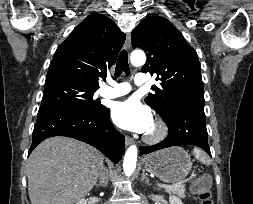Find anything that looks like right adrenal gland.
Here are the masks:
<instances>
[{
  "label": "right adrenal gland",
  "mask_w": 253,
  "mask_h": 204,
  "mask_svg": "<svg viewBox=\"0 0 253 204\" xmlns=\"http://www.w3.org/2000/svg\"><path fill=\"white\" fill-rule=\"evenodd\" d=\"M104 171H105V174H106V180H105V182H103V181L100 180L99 183L96 184L97 187H104V186L107 185V182H108L107 173H108V171H107L106 168H104Z\"/></svg>",
  "instance_id": "1"
}]
</instances>
